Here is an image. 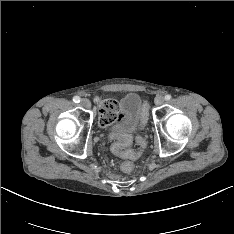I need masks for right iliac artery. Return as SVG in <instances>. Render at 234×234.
Here are the masks:
<instances>
[{
    "mask_svg": "<svg viewBox=\"0 0 234 234\" xmlns=\"http://www.w3.org/2000/svg\"><path fill=\"white\" fill-rule=\"evenodd\" d=\"M73 101H74L75 103H79V102H80V97H79V96H74V97H73Z\"/></svg>",
    "mask_w": 234,
    "mask_h": 234,
    "instance_id": "obj_1",
    "label": "right iliac artery"
}]
</instances>
